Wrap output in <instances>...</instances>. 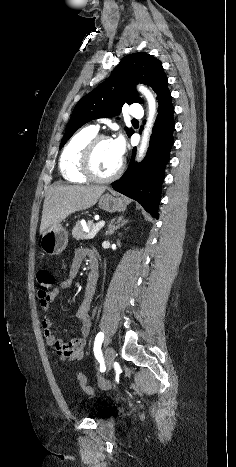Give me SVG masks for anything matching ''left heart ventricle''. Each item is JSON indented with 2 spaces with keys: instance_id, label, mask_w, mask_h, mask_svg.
Listing matches in <instances>:
<instances>
[{
  "instance_id": "b2bd125f",
  "label": "left heart ventricle",
  "mask_w": 236,
  "mask_h": 467,
  "mask_svg": "<svg viewBox=\"0 0 236 467\" xmlns=\"http://www.w3.org/2000/svg\"><path fill=\"white\" fill-rule=\"evenodd\" d=\"M120 161L112 142L102 141L98 144L93 156V169L100 176H108L116 170Z\"/></svg>"
}]
</instances>
